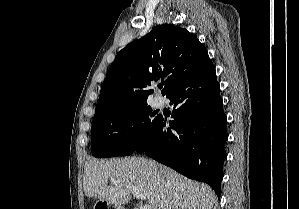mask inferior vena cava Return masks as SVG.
<instances>
[{
    "mask_svg": "<svg viewBox=\"0 0 299 209\" xmlns=\"http://www.w3.org/2000/svg\"><path fill=\"white\" fill-rule=\"evenodd\" d=\"M165 208H166L165 205L163 203H161L160 209H165Z\"/></svg>",
    "mask_w": 299,
    "mask_h": 209,
    "instance_id": "inferior-vena-cava-1",
    "label": "inferior vena cava"
}]
</instances>
